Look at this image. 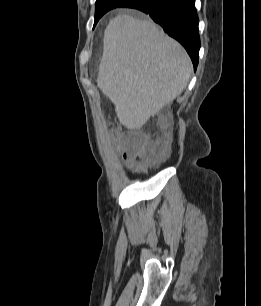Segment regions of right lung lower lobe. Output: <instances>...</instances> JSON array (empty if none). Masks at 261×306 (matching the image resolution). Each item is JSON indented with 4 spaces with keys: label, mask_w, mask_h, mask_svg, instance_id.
Returning <instances> with one entry per match:
<instances>
[{
    "label": "right lung lower lobe",
    "mask_w": 261,
    "mask_h": 306,
    "mask_svg": "<svg viewBox=\"0 0 261 306\" xmlns=\"http://www.w3.org/2000/svg\"><path fill=\"white\" fill-rule=\"evenodd\" d=\"M121 7L135 8L149 14L169 36L184 46L196 69L200 38L195 0H129Z\"/></svg>",
    "instance_id": "1"
}]
</instances>
